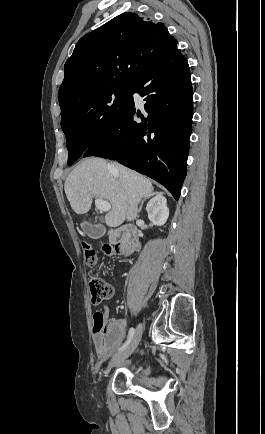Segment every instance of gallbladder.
Returning a JSON list of instances; mask_svg holds the SVG:
<instances>
[{"mask_svg":"<svg viewBox=\"0 0 265 434\" xmlns=\"http://www.w3.org/2000/svg\"><path fill=\"white\" fill-rule=\"evenodd\" d=\"M83 228L87 234V236H90V238H98L101 239L104 236L105 228L101 223L90 224V221H85V224H83Z\"/></svg>","mask_w":265,"mask_h":434,"instance_id":"1","label":"gallbladder"}]
</instances>
